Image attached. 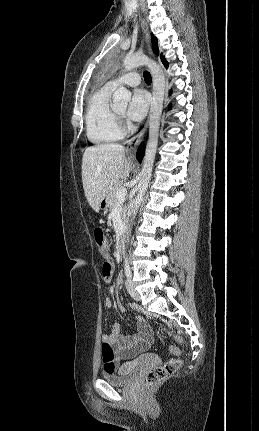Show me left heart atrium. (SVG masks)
Wrapping results in <instances>:
<instances>
[{"mask_svg":"<svg viewBox=\"0 0 259 431\" xmlns=\"http://www.w3.org/2000/svg\"><path fill=\"white\" fill-rule=\"evenodd\" d=\"M149 102V96L145 91L140 89L135 90L126 111L128 119L134 122L141 121L148 111Z\"/></svg>","mask_w":259,"mask_h":431,"instance_id":"obj_1","label":"left heart atrium"}]
</instances>
